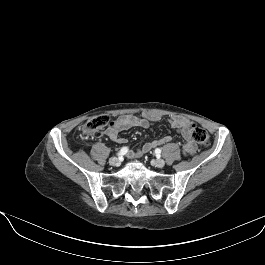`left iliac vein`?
I'll use <instances>...</instances> for the list:
<instances>
[{
	"instance_id": "1",
	"label": "left iliac vein",
	"mask_w": 265,
	"mask_h": 265,
	"mask_svg": "<svg viewBox=\"0 0 265 265\" xmlns=\"http://www.w3.org/2000/svg\"><path fill=\"white\" fill-rule=\"evenodd\" d=\"M153 165L156 167L162 168L165 165V161L162 159H156L153 161Z\"/></svg>"
}]
</instances>
